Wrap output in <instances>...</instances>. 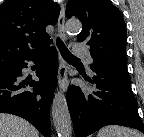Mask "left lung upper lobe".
Wrapping results in <instances>:
<instances>
[{"label": "left lung upper lobe", "instance_id": "1", "mask_svg": "<svg viewBox=\"0 0 144 137\" xmlns=\"http://www.w3.org/2000/svg\"><path fill=\"white\" fill-rule=\"evenodd\" d=\"M77 16L83 25L78 41L91 47L93 67L129 77L126 59V25L121 11L110 0H69L66 16Z\"/></svg>", "mask_w": 144, "mask_h": 137}]
</instances>
